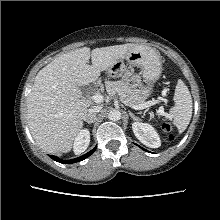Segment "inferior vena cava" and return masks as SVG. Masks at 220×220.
<instances>
[{
	"mask_svg": "<svg viewBox=\"0 0 220 220\" xmlns=\"http://www.w3.org/2000/svg\"><path fill=\"white\" fill-rule=\"evenodd\" d=\"M102 109V107L100 105L97 106H93L90 109H88V113L84 116V120H86L87 122L91 121L93 116L100 112Z\"/></svg>",
	"mask_w": 220,
	"mask_h": 220,
	"instance_id": "1",
	"label": "inferior vena cava"
}]
</instances>
